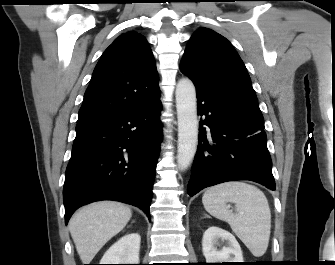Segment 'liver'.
<instances>
[{
  "label": "liver",
  "instance_id": "1",
  "mask_svg": "<svg viewBox=\"0 0 335 265\" xmlns=\"http://www.w3.org/2000/svg\"><path fill=\"white\" fill-rule=\"evenodd\" d=\"M131 209L123 203L100 201L76 212L69 231L83 264H90L99 250L129 222Z\"/></svg>",
  "mask_w": 335,
  "mask_h": 265
}]
</instances>
